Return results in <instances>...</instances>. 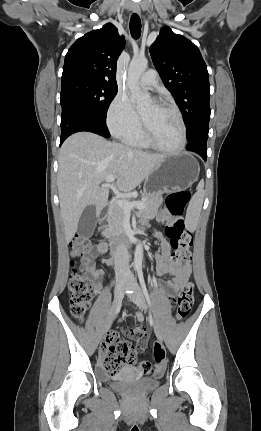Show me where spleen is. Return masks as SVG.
I'll list each match as a JSON object with an SVG mask.
<instances>
[{
  "label": "spleen",
  "mask_w": 261,
  "mask_h": 431,
  "mask_svg": "<svg viewBox=\"0 0 261 431\" xmlns=\"http://www.w3.org/2000/svg\"><path fill=\"white\" fill-rule=\"evenodd\" d=\"M204 199V180H201L197 186V192L193 195L190 204H189V212L193 215L198 216L202 209Z\"/></svg>",
  "instance_id": "1"
}]
</instances>
